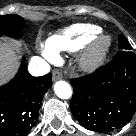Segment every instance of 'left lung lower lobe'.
Instances as JSON below:
<instances>
[{"mask_svg": "<svg viewBox=\"0 0 136 136\" xmlns=\"http://www.w3.org/2000/svg\"><path fill=\"white\" fill-rule=\"evenodd\" d=\"M71 84L70 108L78 122L99 133L115 130L136 110V56L121 50L107 65Z\"/></svg>", "mask_w": 136, "mask_h": 136, "instance_id": "obj_1", "label": "left lung lower lobe"}]
</instances>
